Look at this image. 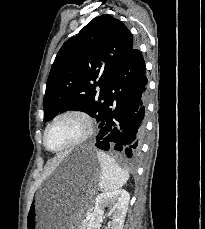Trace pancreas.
I'll return each mask as SVG.
<instances>
[{"mask_svg":"<svg viewBox=\"0 0 205 229\" xmlns=\"http://www.w3.org/2000/svg\"><path fill=\"white\" fill-rule=\"evenodd\" d=\"M82 226H83V228H84V227L86 226V222H84V223L82 224ZM83 228H82V229H83Z\"/></svg>","mask_w":205,"mask_h":229,"instance_id":"pancreas-1","label":"pancreas"}]
</instances>
